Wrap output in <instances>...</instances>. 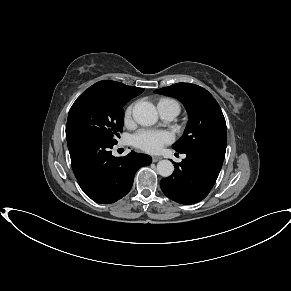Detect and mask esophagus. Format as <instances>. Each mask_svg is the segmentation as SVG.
Listing matches in <instances>:
<instances>
[{"instance_id":"obj_1","label":"esophagus","mask_w":291,"mask_h":291,"mask_svg":"<svg viewBox=\"0 0 291 291\" xmlns=\"http://www.w3.org/2000/svg\"><path fill=\"white\" fill-rule=\"evenodd\" d=\"M161 159H162L161 156H153V157H152V161H153V162H157V161H159V160H161Z\"/></svg>"}]
</instances>
